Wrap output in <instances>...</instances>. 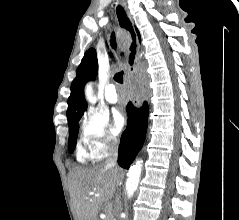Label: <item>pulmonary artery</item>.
<instances>
[{"label":"pulmonary artery","instance_id":"e3ab8cb5","mask_svg":"<svg viewBox=\"0 0 239 220\" xmlns=\"http://www.w3.org/2000/svg\"><path fill=\"white\" fill-rule=\"evenodd\" d=\"M105 98L109 103H116L119 100L114 84H109L105 90Z\"/></svg>","mask_w":239,"mask_h":220}]
</instances>
